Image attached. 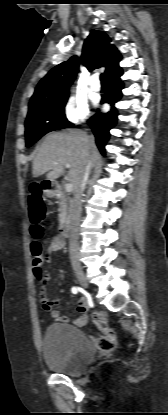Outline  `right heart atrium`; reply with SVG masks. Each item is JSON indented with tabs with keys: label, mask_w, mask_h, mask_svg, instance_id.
I'll return each instance as SVG.
<instances>
[{
	"label": "right heart atrium",
	"mask_w": 168,
	"mask_h": 415,
	"mask_svg": "<svg viewBox=\"0 0 168 415\" xmlns=\"http://www.w3.org/2000/svg\"><path fill=\"white\" fill-rule=\"evenodd\" d=\"M62 114L67 123L79 125L89 118V108L86 102L71 99L65 104Z\"/></svg>",
	"instance_id": "d8ad5b80"
}]
</instances>
